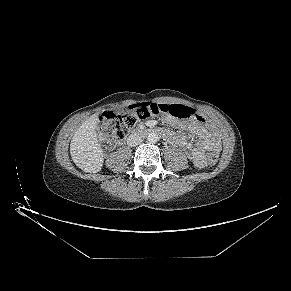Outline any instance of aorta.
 I'll return each instance as SVG.
<instances>
[{"mask_svg": "<svg viewBox=\"0 0 291 291\" xmlns=\"http://www.w3.org/2000/svg\"><path fill=\"white\" fill-rule=\"evenodd\" d=\"M148 141L151 143H155L158 141V136L155 133H151L148 136Z\"/></svg>", "mask_w": 291, "mask_h": 291, "instance_id": "1", "label": "aorta"}]
</instances>
